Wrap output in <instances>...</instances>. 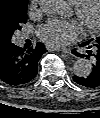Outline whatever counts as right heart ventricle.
I'll list each match as a JSON object with an SVG mask.
<instances>
[{"label":"right heart ventricle","mask_w":100,"mask_h":118,"mask_svg":"<svg viewBox=\"0 0 100 118\" xmlns=\"http://www.w3.org/2000/svg\"><path fill=\"white\" fill-rule=\"evenodd\" d=\"M71 4H75L78 0H68Z\"/></svg>","instance_id":"e07e8e85"}]
</instances>
